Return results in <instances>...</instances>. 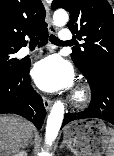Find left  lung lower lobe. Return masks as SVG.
<instances>
[{"label":"left lung lower lobe","instance_id":"left-lung-lower-lobe-1","mask_svg":"<svg viewBox=\"0 0 114 156\" xmlns=\"http://www.w3.org/2000/svg\"><path fill=\"white\" fill-rule=\"evenodd\" d=\"M85 77L91 87L92 100L90 106L77 114H65L62 127L73 120L84 118H99L114 125V73Z\"/></svg>","mask_w":114,"mask_h":156}]
</instances>
